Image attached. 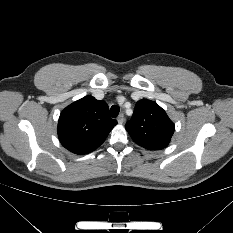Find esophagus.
Listing matches in <instances>:
<instances>
[{
	"mask_svg": "<svg viewBox=\"0 0 233 233\" xmlns=\"http://www.w3.org/2000/svg\"><path fill=\"white\" fill-rule=\"evenodd\" d=\"M117 122H118L119 124H123V122H124V115H123V114H120V115L118 116Z\"/></svg>",
	"mask_w": 233,
	"mask_h": 233,
	"instance_id": "34e87169",
	"label": "esophagus"
}]
</instances>
